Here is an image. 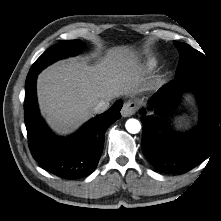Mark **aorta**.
Instances as JSON below:
<instances>
[{"label":"aorta","mask_w":221,"mask_h":221,"mask_svg":"<svg viewBox=\"0 0 221 221\" xmlns=\"http://www.w3.org/2000/svg\"><path fill=\"white\" fill-rule=\"evenodd\" d=\"M126 130L131 134H136L141 130V124L137 119L131 118L126 121Z\"/></svg>","instance_id":"762f6f07"}]
</instances>
